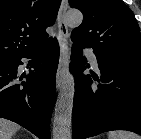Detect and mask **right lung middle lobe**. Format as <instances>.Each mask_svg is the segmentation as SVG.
I'll use <instances>...</instances> for the list:
<instances>
[{
	"label": "right lung middle lobe",
	"instance_id": "1",
	"mask_svg": "<svg viewBox=\"0 0 141 139\" xmlns=\"http://www.w3.org/2000/svg\"><path fill=\"white\" fill-rule=\"evenodd\" d=\"M6 61H8V59H0V63L6 62Z\"/></svg>",
	"mask_w": 141,
	"mask_h": 139
}]
</instances>
